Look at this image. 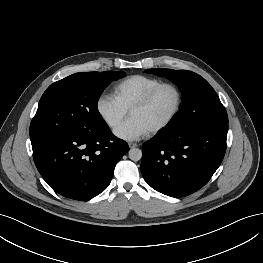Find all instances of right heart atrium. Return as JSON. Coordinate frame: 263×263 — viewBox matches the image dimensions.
<instances>
[{
    "instance_id": "right-heart-atrium-1",
    "label": "right heart atrium",
    "mask_w": 263,
    "mask_h": 263,
    "mask_svg": "<svg viewBox=\"0 0 263 263\" xmlns=\"http://www.w3.org/2000/svg\"><path fill=\"white\" fill-rule=\"evenodd\" d=\"M96 110L103 122L116 128L127 115V110L111 94H101L96 101Z\"/></svg>"
}]
</instances>
